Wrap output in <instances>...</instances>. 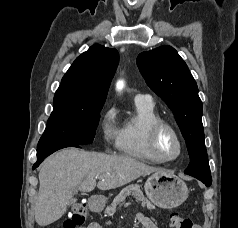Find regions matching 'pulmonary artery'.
I'll return each instance as SVG.
<instances>
[{"mask_svg":"<svg viewBox=\"0 0 238 228\" xmlns=\"http://www.w3.org/2000/svg\"><path fill=\"white\" fill-rule=\"evenodd\" d=\"M135 100H137V101H152L149 96L142 95V94L136 95Z\"/></svg>","mask_w":238,"mask_h":228,"instance_id":"obj_1","label":"pulmonary artery"}]
</instances>
